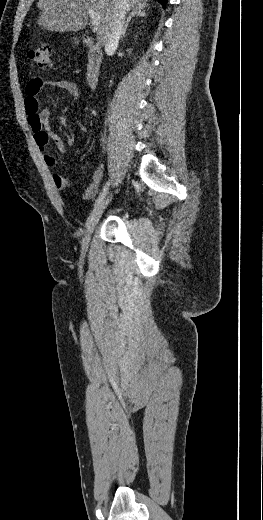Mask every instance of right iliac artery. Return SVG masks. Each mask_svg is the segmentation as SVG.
<instances>
[{
  "instance_id": "1",
  "label": "right iliac artery",
  "mask_w": 263,
  "mask_h": 520,
  "mask_svg": "<svg viewBox=\"0 0 263 520\" xmlns=\"http://www.w3.org/2000/svg\"><path fill=\"white\" fill-rule=\"evenodd\" d=\"M109 185H110V183L106 182V184L104 185L103 190L100 193L99 197L97 198L94 206H97L105 198V196L108 193Z\"/></svg>"
}]
</instances>
